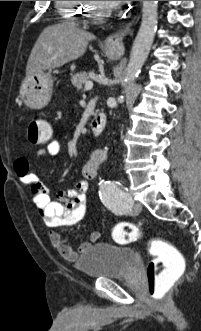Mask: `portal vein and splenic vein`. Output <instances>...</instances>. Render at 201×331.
Masks as SVG:
<instances>
[{"label":"portal vein and splenic vein","mask_w":201,"mask_h":331,"mask_svg":"<svg viewBox=\"0 0 201 331\" xmlns=\"http://www.w3.org/2000/svg\"><path fill=\"white\" fill-rule=\"evenodd\" d=\"M92 87H93V82H91V81H87V82L85 83V90H86V91L92 89Z\"/></svg>","instance_id":"18ae733b"}]
</instances>
